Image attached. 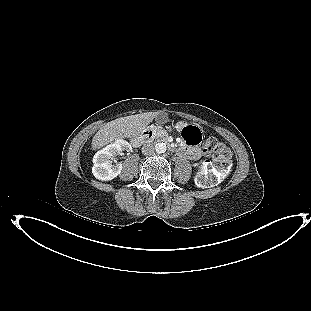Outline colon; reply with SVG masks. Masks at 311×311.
Masks as SVG:
<instances>
[{
	"mask_svg": "<svg viewBox=\"0 0 311 311\" xmlns=\"http://www.w3.org/2000/svg\"><path fill=\"white\" fill-rule=\"evenodd\" d=\"M192 143L197 144L200 133L197 129L187 126L182 131ZM203 152L211 157V162L196 175V182L200 186L214 185L222 182L230 173L232 167V153L230 149L216 138H208L203 146Z\"/></svg>",
	"mask_w": 311,
	"mask_h": 311,
	"instance_id": "5ec220e1",
	"label": "colon"
}]
</instances>
